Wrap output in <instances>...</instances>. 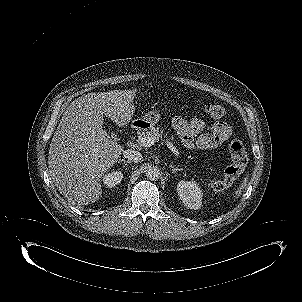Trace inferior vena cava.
Returning <instances> with one entry per match:
<instances>
[{
	"mask_svg": "<svg viewBox=\"0 0 302 302\" xmlns=\"http://www.w3.org/2000/svg\"><path fill=\"white\" fill-rule=\"evenodd\" d=\"M123 156L131 162H139L143 156L139 151L133 150V149H127L123 151Z\"/></svg>",
	"mask_w": 302,
	"mask_h": 302,
	"instance_id": "inferior-vena-cava-1",
	"label": "inferior vena cava"
}]
</instances>
